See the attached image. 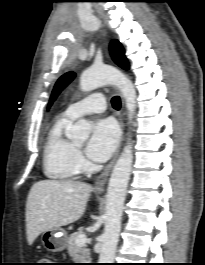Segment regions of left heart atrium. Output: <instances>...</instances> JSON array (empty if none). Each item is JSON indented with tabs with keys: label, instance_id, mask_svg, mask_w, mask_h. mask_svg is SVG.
Wrapping results in <instances>:
<instances>
[{
	"label": "left heart atrium",
	"instance_id": "obj_1",
	"mask_svg": "<svg viewBox=\"0 0 205 265\" xmlns=\"http://www.w3.org/2000/svg\"><path fill=\"white\" fill-rule=\"evenodd\" d=\"M118 141L119 129L116 123L110 118L100 119L94 124L86 153L93 161L104 162L112 155Z\"/></svg>",
	"mask_w": 205,
	"mask_h": 265
}]
</instances>
